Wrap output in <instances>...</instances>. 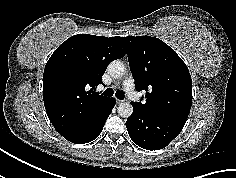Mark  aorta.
Returning <instances> with one entry per match:
<instances>
[{
	"label": "aorta",
	"instance_id": "aorta-1",
	"mask_svg": "<svg viewBox=\"0 0 236 178\" xmlns=\"http://www.w3.org/2000/svg\"><path fill=\"white\" fill-rule=\"evenodd\" d=\"M108 72L112 77L119 78L125 73V66L119 60L112 61L108 66ZM117 112L121 117L128 118L133 113V106L130 102H122L118 105Z\"/></svg>",
	"mask_w": 236,
	"mask_h": 178
}]
</instances>
